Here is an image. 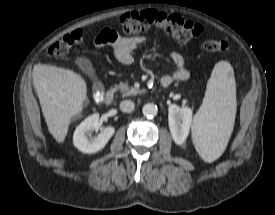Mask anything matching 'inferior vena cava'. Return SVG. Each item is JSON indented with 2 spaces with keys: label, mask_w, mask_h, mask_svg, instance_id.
I'll return each instance as SVG.
<instances>
[{
  "label": "inferior vena cava",
  "mask_w": 275,
  "mask_h": 215,
  "mask_svg": "<svg viewBox=\"0 0 275 215\" xmlns=\"http://www.w3.org/2000/svg\"><path fill=\"white\" fill-rule=\"evenodd\" d=\"M135 104L131 100H125L120 103V109L123 112H132L134 110Z\"/></svg>",
  "instance_id": "inferior-vena-cava-1"
}]
</instances>
